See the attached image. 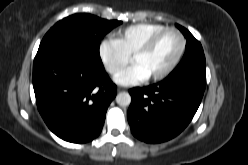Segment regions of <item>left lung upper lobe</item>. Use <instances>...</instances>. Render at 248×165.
<instances>
[{
  "instance_id": "1",
  "label": "left lung upper lobe",
  "mask_w": 248,
  "mask_h": 165,
  "mask_svg": "<svg viewBox=\"0 0 248 165\" xmlns=\"http://www.w3.org/2000/svg\"><path fill=\"white\" fill-rule=\"evenodd\" d=\"M176 27L183 33L186 38V48L183 59L177 67L169 74L176 75L185 70L199 65H206L205 55L201 43L184 27L176 24Z\"/></svg>"
}]
</instances>
